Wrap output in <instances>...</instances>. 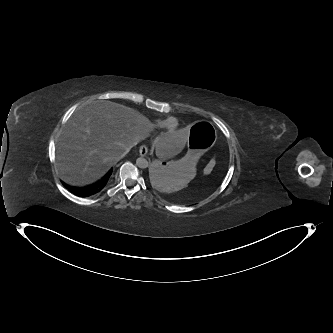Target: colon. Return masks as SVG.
Masks as SVG:
<instances>
[{
	"label": "colon",
	"mask_w": 333,
	"mask_h": 333,
	"mask_svg": "<svg viewBox=\"0 0 333 333\" xmlns=\"http://www.w3.org/2000/svg\"><path fill=\"white\" fill-rule=\"evenodd\" d=\"M215 164H216V160H215L214 158L211 159V160L208 162V164H207V166H206V168H205V173H209V172H211V170L214 168Z\"/></svg>",
	"instance_id": "obj_1"
}]
</instances>
